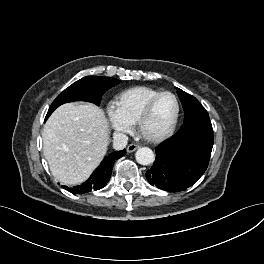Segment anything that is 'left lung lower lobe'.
Wrapping results in <instances>:
<instances>
[{
	"instance_id": "1",
	"label": "left lung lower lobe",
	"mask_w": 264,
	"mask_h": 264,
	"mask_svg": "<svg viewBox=\"0 0 264 264\" xmlns=\"http://www.w3.org/2000/svg\"><path fill=\"white\" fill-rule=\"evenodd\" d=\"M213 147L210 121L180 130L156 149V160L146 178L159 189L179 192L192 186L205 172Z\"/></svg>"
}]
</instances>
